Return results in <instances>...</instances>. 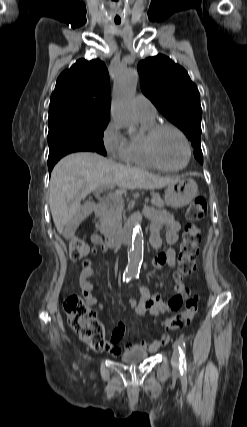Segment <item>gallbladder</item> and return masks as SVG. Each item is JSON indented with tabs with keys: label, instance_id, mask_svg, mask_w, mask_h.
I'll list each match as a JSON object with an SVG mask.
<instances>
[{
	"label": "gallbladder",
	"instance_id": "gallbladder-1",
	"mask_svg": "<svg viewBox=\"0 0 247 427\" xmlns=\"http://www.w3.org/2000/svg\"><path fill=\"white\" fill-rule=\"evenodd\" d=\"M94 206V203L91 201H87L81 206L74 218L64 227L63 234L66 238H70L74 235L78 225L91 214Z\"/></svg>",
	"mask_w": 247,
	"mask_h": 427
}]
</instances>
